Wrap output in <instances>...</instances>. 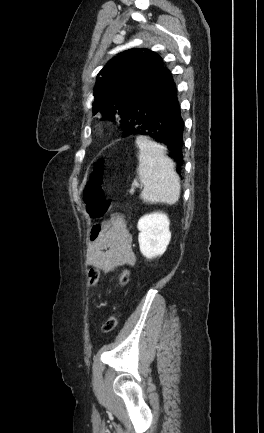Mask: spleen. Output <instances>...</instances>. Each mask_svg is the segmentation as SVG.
<instances>
[{"mask_svg": "<svg viewBox=\"0 0 264 433\" xmlns=\"http://www.w3.org/2000/svg\"><path fill=\"white\" fill-rule=\"evenodd\" d=\"M136 144L140 150L138 174L144 186L141 198L150 203L175 204L181 187L164 147L145 136L137 137Z\"/></svg>", "mask_w": 264, "mask_h": 433, "instance_id": "spleen-1", "label": "spleen"}]
</instances>
